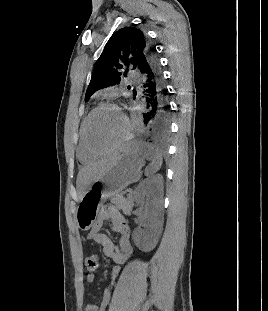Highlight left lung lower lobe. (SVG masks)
Masks as SVG:
<instances>
[{
	"label": "left lung lower lobe",
	"instance_id": "left-lung-lower-lobe-1",
	"mask_svg": "<svg viewBox=\"0 0 268 311\" xmlns=\"http://www.w3.org/2000/svg\"><path fill=\"white\" fill-rule=\"evenodd\" d=\"M141 76V100L144 112L137 127L139 132L133 135L134 141H168L170 108L164 87L160 63L148 47V58L138 66Z\"/></svg>",
	"mask_w": 268,
	"mask_h": 311
}]
</instances>
